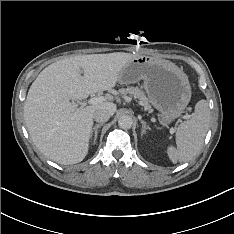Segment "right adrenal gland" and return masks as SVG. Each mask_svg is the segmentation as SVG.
<instances>
[{"instance_id":"2a0ac1e0","label":"right adrenal gland","mask_w":234,"mask_h":234,"mask_svg":"<svg viewBox=\"0 0 234 234\" xmlns=\"http://www.w3.org/2000/svg\"><path fill=\"white\" fill-rule=\"evenodd\" d=\"M102 125H103V123L96 124V125L92 128V130H91L90 137H92V136H93V133H94L93 144H95V143H96V140H97L98 128H100Z\"/></svg>"}]
</instances>
